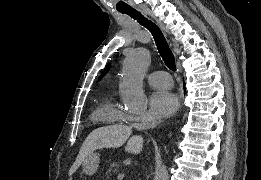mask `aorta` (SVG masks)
<instances>
[{
    "label": "aorta",
    "mask_w": 261,
    "mask_h": 180,
    "mask_svg": "<svg viewBox=\"0 0 261 180\" xmlns=\"http://www.w3.org/2000/svg\"><path fill=\"white\" fill-rule=\"evenodd\" d=\"M150 62V52L144 47L129 50L126 54L120 93L124 105L131 111H141L147 107L143 79Z\"/></svg>",
    "instance_id": "obj_1"
}]
</instances>
